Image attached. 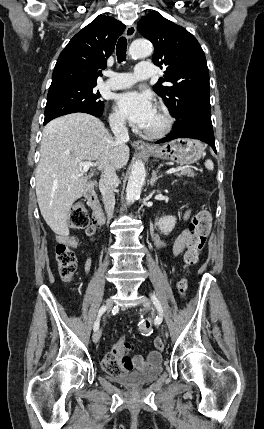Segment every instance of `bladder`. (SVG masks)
Segmentation results:
<instances>
[{"instance_id": "31cf9c89", "label": "bladder", "mask_w": 264, "mask_h": 429, "mask_svg": "<svg viewBox=\"0 0 264 429\" xmlns=\"http://www.w3.org/2000/svg\"><path fill=\"white\" fill-rule=\"evenodd\" d=\"M163 372L161 362L156 365L149 366L141 371H133L114 375L108 373L107 378L115 383L128 388H138L156 381Z\"/></svg>"}]
</instances>
